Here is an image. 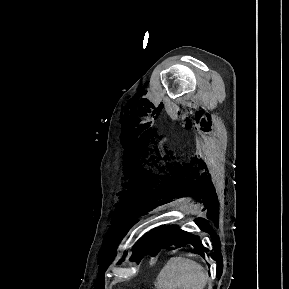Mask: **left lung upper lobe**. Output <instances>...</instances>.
Listing matches in <instances>:
<instances>
[{
  "label": "left lung upper lobe",
  "instance_id": "obj_1",
  "mask_svg": "<svg viewBox=\"0 0 289 289\" xmlns=\"http://www.w3.org/2000/svg\"><path fill=\"white\" fill-rule=\"evenodd\" d=\"M164 235L165 228H163V226L155 228L148 234L143 235L136 243L131 260L139 263L147 254L155 256L160 249L165 247L163 240Z\"/></svg>",
  "mask_w": 289,
  "mask_h": 289
}]
</instances>
